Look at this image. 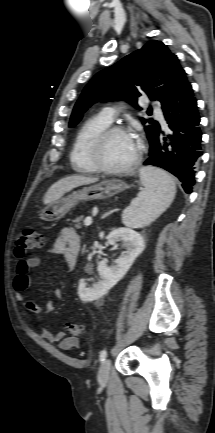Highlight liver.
Wrapping results in <instances>:
<instances>
[{
    "label": "liver",
    "instance_id": "6515ba94",
    "mask_svg": "<svg viewBox=\"0 0 215 433\" xmlns=\"http://www.w3.org/2000/svg\"><path fill=\"white\" fill-rule=\"evenodd\" d=\"M98 181L97 177H85L82 175H72L60 179L56 183H54L48 190V198L45 202H49L52 200H58L61 198L66 192H69L73 188L78 186L87 185L91 183H95Z\"/></svg>",
    "mask_w": 215,
    "mask_h": 433
}]
</instances>
